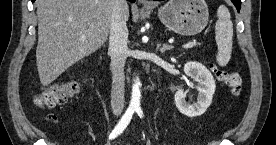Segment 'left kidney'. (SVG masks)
Masks as SVG:
<instances>
[{
	"mask_svg": "<svg viewBox=\"0 0 276 145\" xmlns=\"http://www.w3.org/2000/svg\"><path fill=\"white\" fill-rule=\"evenodd\" d=\"M184 72L188 77L198 82L197 102L190 104L186 101V95L182 89L175 93V104L178 110L188 116L197 117L202 115L211 105L213 94L216 89L215 81L210 71L201 63L189 61L184 65Z\"/></svg>",
	"mask_w": 276,
	"mask_h": 145,
	"instance_id": "5707ae66",
	"label": "left kidney"
}]
</instances>
